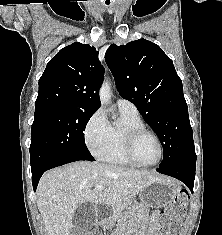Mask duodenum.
<instances>
[{"instance_id": "duodenum-1", "label": "duodenum", "mask_w": 222, "mask_h": 235, "mask_svg": "<svg viewBox=\"0 0 222 235\" xmlns=\"http://www.w3.org/2000/svg\"><path fill=\"white\" fill-rule=\"evenodd\" d=\"M97 212H98V214H99V212H100V209H98V210H97Z\"/></svg>"}]
</instances>
